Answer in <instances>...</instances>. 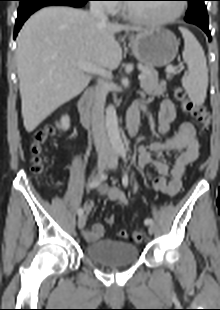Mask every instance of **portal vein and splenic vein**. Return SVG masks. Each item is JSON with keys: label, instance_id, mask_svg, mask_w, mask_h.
Instances as JSON below:
<instances>
[{"label": "portal vein and splenic vein", "instance_id": "portal-vein-and-splenic-vein-1", "mask_svg": "<svg viewBox=\"0 0 220 310\" xmlns=\"http://www.w3.org/2000/svg\"><path fill=\"white\" fill-rule=\"evenodd\" d=\"M80 69H82V70H84L86 72H89V73H95V74H99L101 76L112 78L111 72H107L105 69L96 68L95 66H93L90 63H80ZM173 71H175V68L173 66H170L167 69L168 73H171ZM138 79H139V81L144 80L145 79V75L144 74H140L138 76Z\"/></svg>", "mask_w": 220, "mask_h": 310}]
</instances>
